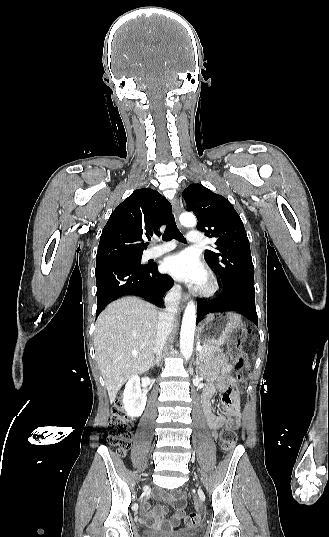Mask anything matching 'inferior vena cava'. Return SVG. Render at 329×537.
Listing matches in <instances>:
<instances>
[{"mask_svg": "<svg viewBox=\"0 0 329 537\" xmlns=\"http://www.w3.org/2000/svg\"><path fill=\"white\" fill-rule=\"evenodd\" d=\"M181 299L179 286L172 288L164 298L166 309L160 313L155 340V353L160 357L168 335L172 331L173 321Z\"/></svg>", "mask_w": 329, "mask_h": 537, "instance_id": "602c4592", "label": "inferior vena cava"}]
</instances>
